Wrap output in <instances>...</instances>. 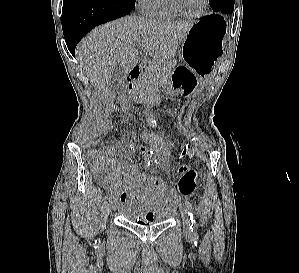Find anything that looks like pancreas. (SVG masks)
Wrapping results in <instances>:
<instances>
[{
    "mask_svg": "<svg viewBox=\"0 0 299 273\" xmlns=\"http://www.w3.org/2000/svg\"><path fill=\"white\" fill-rule=\"evenodd\" d=\"M174 61H149L144 64V76L139 80L134 93L136 95L147 93L154 90L157 83L167 78L172 68L175 66Z\"/></svg>",
    "mask_w": 299,
    "mask_h": 273,
    "instance_id": "1",
    "label": "pancreas"
}]
</instances>
